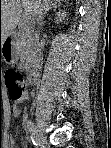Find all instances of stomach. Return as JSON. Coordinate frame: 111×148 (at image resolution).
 Listing matches in <instances>:
<instances>
[{
	"instance_id": "0dacf381",
	"label": "stomach",
	"mask_w": 111,
	"mask_h": 148,
	"mask_svg": "<svg viewBox=\"0 0 111 148\" xmlns=\"http://www.w3.org/2000/svg\"><path fill=\"white\" fill-rule=\"evenodd\" d=\"M4 43H2V45ZM0 57H1L2 61H4L7 64L14 63L16 61V57H15L13 46L10 45V48L9 49H6L5 47L2 46V52L0 54Z\"/></svg>"
}]
</instances>
